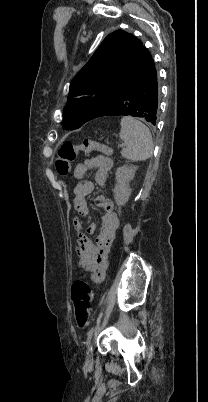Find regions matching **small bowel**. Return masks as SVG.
<instances>
[{"label": "small bowel", "instance_id": "small-bowel-1", "mask_svg": "<svg viewBox=\"0 0 208 402\" xmlns=\"http://www.w3.org/2000/svg\"><path fill=\"white\" fill-rule=\"evenodd\" d=\"M113 167L112 159L104 156H95L78 163L74 169V177L79 181L76 186L75 208L81 215H87L89 208L86 197L94 191V183L87 179L88 172L96 169L95 182L103 187L109 178V172ZM98 205L104 210L100 231L95 241L89 240L82 232L81 221L78 218L72 220V225L76 233V250L81 260V264L91 271V278L94 282H102L105 278L107 266V256L113 242L116 232L119 228V219L113 209V203L110 199L101 196L97 199ZM96 224L91 223L88 232L94 233Z\"/></svg>", "mask_w": 208, "mask_h": 402}]
</instances>
